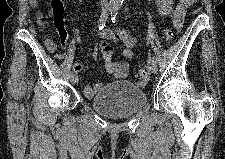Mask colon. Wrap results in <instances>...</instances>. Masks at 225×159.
Instances as JSON below:
<instances>
[{
	"instance_id": "5ec220e1",
	"label": "colon",
	"mask_w": 225,
	"mask_h": 159,
	"mask_svg": "<svg viewBox=\"0 0 225 159\" xmlns=\"http://www.w3.org/2000/svg\"><path fill=\"white\" fill-rule=\"evenodd\" d=\"M52 13L54 16V20L56 26L64 27V20H63V7L60 0H53L52 5ZM173 37V32L171 29L164 30V39L165 41L169 42ZM102 53L105 58H110L112 55L111 47L104 46L102 49ZM138 77L141 79L143 83H146L149 80V69L148 65H143L138 71Z\"/></svg>"
}]
</instances>
